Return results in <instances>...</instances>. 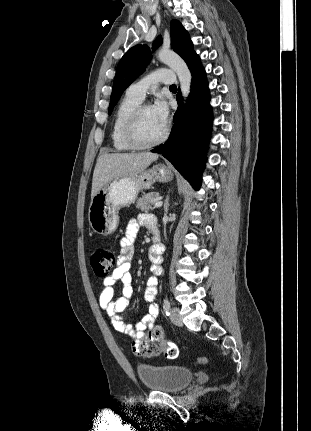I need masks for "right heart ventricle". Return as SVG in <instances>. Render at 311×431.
Instances as JSON below:
<instances>
[{
	"instance_id": "1",
	"label": "right heart ventricle",
	"mask_w": 311,
	"mask_h": 431,
	"mask_svg": "<svg viewBox=\"0 0 311 431\" xmlns=\"http://www.w3.org/2000/svg\"><path fill=\"white\" fill-rule=\"evenodd\" d=\"M141 101L142 99L127 90L118 102L111 131V141L116 151L127 152L135 149L126 138L125 124L128 116Z\"/></svg>"
}]
</instances>
